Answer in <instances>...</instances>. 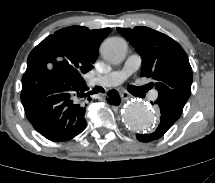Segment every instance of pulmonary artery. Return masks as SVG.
<instances>
[{
    "mask_svg": "<svg viewBox=\"0 0 215 183\" xmlns=\"http://www.w3.org/2000/svg\"><path fill=\"white\" fill-rule=\"evenodd\" d=\"M141 65V57L138 54L129 56L124 66L117 71H113L105 76H99L94 81V84L103 87H115L123 83L129 76H131ZM152 100L158 97V91L153 90L150 94Z\"/></svg>",
    "mask_w": 215,
    "mask_h": 183,
    "instance_id": "1",
    "label": "pulmonary artery"
}]
</instances>
